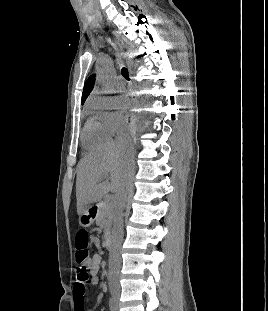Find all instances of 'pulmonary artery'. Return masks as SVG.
<instances>
[{
  "mask_svg": "<svg viewBox=\"0 0 268 311\" xmlns=\"http://www.w3.org/2000/svg\"><path fill=\"white\" fill-rule=\"evenodd\" d=\"M119 80H120V82L117 84V87L122 88L124 86V84L122 83L121 79H119Z\"/></svg>",
  "mask_w": 268,
  "mask_h": 311,
  "instance_id": "obj_1",
  "label": "pulmonary artery"
}]
</instances>
